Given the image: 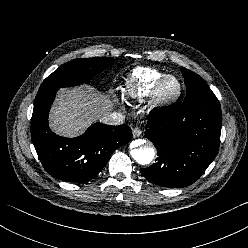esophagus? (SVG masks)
<instances>
[{"label": "esophagus", "instance_id": "obj_1", "mask_svg": "<svg viewBox=\"0 0 248 248\" xmlns=\"http://www.w3.org/2000/svg\"><path fill=\"white\" fill-rule=\"evenodd\" d=\"M132 134H133L134 138H137L142 134V131H141L140 128L135 127V128L132 129Z\"/></svg>", "mask_w": 248, "mask_h": 248}]
</instances>
